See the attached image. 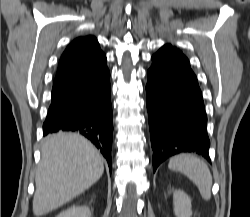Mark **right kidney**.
I'll use <instances>...</instances> for the list:
<instances>
[{
	"mask_svg": "<svg viewBox=\"0 0 250 217\" xmlns=\"http://www.w3.org/2000/svg\"><path fill=\"white\" fill-rule=\"evenodd\" d=\"M56 217H91V211L87 206H71L63 210Z\"/></svg>",
	"mask_w": 250,
	"mask_h": 217,
	"instance_id": "1",
	"label": "right kidney"
}]
</instances>
